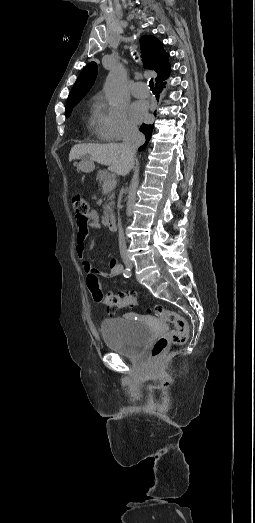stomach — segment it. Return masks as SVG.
I'll use <instances>...</instances> for the list:
<instances>
[{"instance_id": "obj_1", "label": "stomach", "mask_w": 255, "mask_h": 523, "mask_svg": "<svg viewBox=\"0 0 255 523\" xmlns=\"http://www.w3.org/2000/svg\"><path fill=\"white\" fill-rule=\"evenodd\" d=\"M79 168L82 172H92V170H94V164L93 162H81Z\"/></svg>"}]
</instances>
